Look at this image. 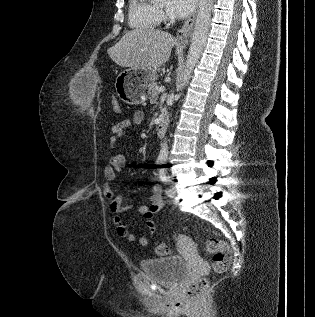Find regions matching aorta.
I'll return each instance as SVG.
<instances>
[{
  "label": "aorta",
  "mask_w": 315,
  "mask_h": 317,
  "mask_svg": "<svg viewBox=\"0 0 315 317\" xmlns=\"http://www.w3.org/2000/svg\"><path fill=\"white\" fill-rule=\"evenodd\" d=\"M157 1V0H155ZM214 0H200L198 13L195 23L194 32L191 39L189 52L187 55L186 65L183 73L182 88L189 82L191 73L197 64L202 50L206 44L210 22L211 12L213 9ZM168 155L167 141L161 144V150L159 152L158 160H165Z\"/></svg>",
  "instance_id": "762f6f07"
}]
</instances>
